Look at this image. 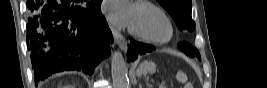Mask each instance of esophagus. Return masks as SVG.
Instances as JSON below:
<instances>
[{
  "instance_id": "esophagus-1",
  "label": "esophagus",
  "mask_w": 267,
  "mask_h": 88,
  "mask_svg": "<svg viewBox=\"0 0 267 88\" xmlns=\"http://www.w3.org/2000/svg\"><path fill=\"white\" fill-rule=\"evenodd\" d=\"M110 30L113 34L114 40L117 43V45L120 47V49L126 53L127 52V41L126 39L120 34L118 30L115 29V27L111 24H109Z\"/></svg>"
}]
</instances>
